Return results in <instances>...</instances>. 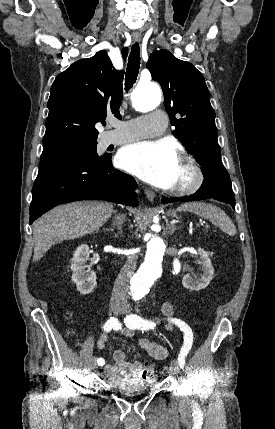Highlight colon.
Instances as JSON below:
<instances>
[{
	"label": "colon",
	"mask_w": 275,
	"mask_h": 429,
	"mask_svg": "<svg viewBox=\"0 0 275 429\" xmlns=\"http://www.w3.org/2000/svg\"><path fill=\"white\" fill-rule=\"evenodd\" d=\"M145 376H146L147 378H150V377H154V376H155V370H154L153 365H151V364H147V366H146V370H145Z\"/></svg>",
	"instance_id": "1"
}]
</instances>
